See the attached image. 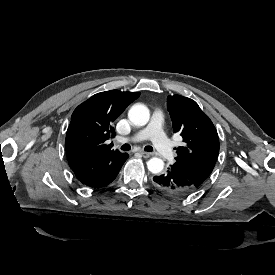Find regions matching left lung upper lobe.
<instances>
[{
    "mask_svg": "<svg viewBox=\"0 0 275 275\" xmlns=\"http://www.w3.org/2000/svg\"><path fill=\"white\" fill-rule=\"evenodd\" d=\"M167 106L174 132L179 133L185 143L176 151L174 166L198 188L215 166L219 154L217 131L194 100L168 96Z\"/></svg>",
    "mask_w": 275,
    "mask_h": 275,
    "instance_id": "1",
    "label": "left lung upper lobe"
}]
</instances>
